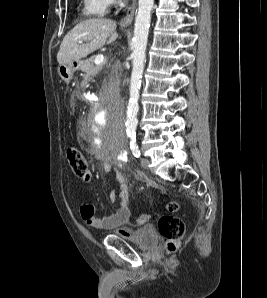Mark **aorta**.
<instances>
[{
    "instance_id": "aorta-1",
    "label": "aorta",
    "mask_w": 267,
    "mask_h": 298,
    "mask_svg": "<svg viewBox=\"0 0 267 298\" xmlns=\"http://www.w3.org/2000/svg\"><path fill=\"white\" fill-rule=\"evenodd\" d=\"M154 0H139L138 12L135 18L134 37L132 44V74L130 81V99L128 104L126 129L128 133H134L138 124L137 114L139 110V90L141 77L146 59V47L151 22V11Z\"/></svg>"
}]
</instances>
